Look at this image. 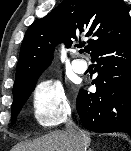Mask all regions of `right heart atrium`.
<instances>
[{
  "label": "right heart atrium",
  "instance_id": "obj_1",
  "mask_svg": "<svg viewBox=\"0 0 131 151\" xmlns=\"http://www.w3.org/2000/svg\"><path fill=\"white\" fill-rule=\"evenodd\" d=\"M32 104L36 122L46 128L61 124L70 111L63 86L54 79H45L37 84Z\"/></svg>",
  "mask_w": 131,
  "mask_h": 151
}]
</instances>
